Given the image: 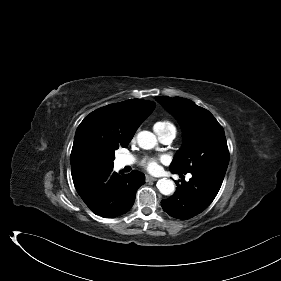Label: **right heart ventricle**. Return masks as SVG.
Here are the masks:
<instances>
[{"mask_svg": "<svg viewBox=\"0 0 281 281\" xmlns=\"http://www.w3.org/2000/svg\"><path fill=\"white\" fill-rule=\"evenodd\" d=\"M154 129L157 134H162L170 130H175L174 125L167 120H160L154 124Z\"/></svg>", "mask_w": 281, "mask_h": 281, "instance_id": "obj_1", "label": "right heart ventricle"}]
</instances>
